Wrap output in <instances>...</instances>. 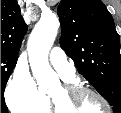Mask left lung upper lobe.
<instances>
[{"label": "left lung upper lobe", "instance_id": "obj_1", "mask_svg": "<svg viewBox=\"0 0 121 113\" xmlns=\"http://www.w3.org/2000/svg\"><path fill=\"white\" fill-rule=\"evenodd\" d=\"M60 44L75 66L121 113V55L114 21L101 0H62Z\"/></svg>", "mask_w": 121, "mask_h": 113}]
</instances>
